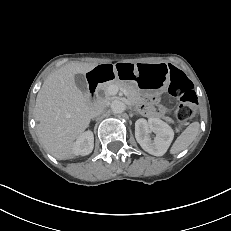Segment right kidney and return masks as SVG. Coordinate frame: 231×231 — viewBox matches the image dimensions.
<instances>
[{"label": "right kidney", "mask_w": 231, "mask_h": 231, "mask_svg": "<svg viewBox=\"0 0 231 231\" xmlns=\"http://www.w3.org/2000/svg\"><path fill=\"white\" fill-rule=\"evenodd\" d=\"M94 147V136L91 131H87L80 135L75 142L74 151L76 155H88L92 152Z\"/></svg>", "instance_id": "1"}]
</instances>
